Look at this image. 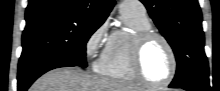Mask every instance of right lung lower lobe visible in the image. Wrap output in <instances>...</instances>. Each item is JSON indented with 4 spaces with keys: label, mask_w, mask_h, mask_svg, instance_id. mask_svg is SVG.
<instances>
[{
    "label": "right lung lower lobe",
    "mask_w": 220,
    "mask_h": 91,
    "mask_svg": "<svg viewBox=\"0 0 220 91\" xmlns=\"http://www.w3.org/2000/svg\"><path fill=\"white\" fill-rule=\"evenodd\" d=\"M71 66L77 65L73 62L60 58L46 59L27 65L18 71V91H26L39 76L49 70Z\"/></svg>",
    "instance_id": "1"
}]
</instances>
